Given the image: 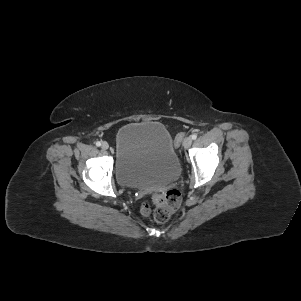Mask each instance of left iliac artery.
Masks as SVG:
<instances>
[{
    "mask_svg": "<svg viewBox=\"0 0 301 301\" xmlns=\"http://www.w3.org/2000/svg\"><path fill=\"white\" fill-rule=\"evenodd\" d=\"M191 138H192L193 140H195V139L197 138V134L191 135Z\"/></svg>",
    "mask_w": 301,
    "mask_h": 301,
    "instance_id": "obj_1",
    "label": "left iliac artery"
}]
</instances>
